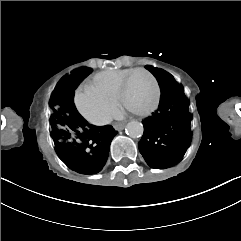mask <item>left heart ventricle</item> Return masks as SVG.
<instances>
[{
    "label": "left heart ventricle",
    "mask_w": 241,
    "mask_h": 241,
    "mask_svg": "<svg viewBox=\"0 0 241 241\" xmlns=\"http://www.w3.org/2000/svg\"><path fill=\"white\" fill-rule=\"evenodd\" d=\"M125 94L127 109L139 113L152 101L153 89L149 81L144 80L143 76L135 75L126 86Z\"/></svg>",
    "instance_id": "left-heart-ventricle-1"
}]
</instances>
